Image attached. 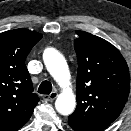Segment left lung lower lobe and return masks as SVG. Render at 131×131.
Instances as JSON below:
<instances>
[{
	"label": "left lung lower lobe",
	"instance_id": "left-lung-lower-lobe-1",
	"mask_svg": "<svg viewBox=\"0 0 131 131\" xmlns=\"http://www.w3.org/2000/svg\"><path fill=\"white\" fill-rule=\"evenodd\" d=\"M68 123L74 131H85L83 128H81L79 125L75 124L72 121H68Z\"/></svg>",
	"mask_w": 131,
	"mask_h": 131
}]
</instances>
